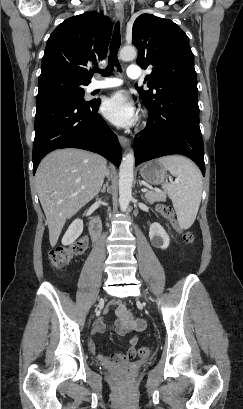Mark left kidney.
I'll list each match as a JSON object with an SVG mask.
<instances>
[{
  "label": "left kidney",
  "instance_id": "5707ae66",
  "mask_svg": "<svg viewBox=\"0 0 243 409\" xmlns=\"http://www.w3.org/2000/svg\"><path fill=\"white\" fill-rule=\"evenodd\" d=\"M149 237L152 245L157 248L166 249L169 246V236L159 223L150 226Z\"/></svg>",
  "mask_w": 243,
  "mask_h": 409
}]
</instances>
